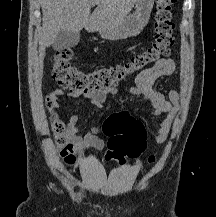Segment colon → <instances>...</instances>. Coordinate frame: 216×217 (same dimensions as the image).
I'll use <instances>...</instances> for the list:
<instances>
[{
	"label": "colon",
	"instance_id": "5ec220e1",
	"mask_svg": "<svg viewBox=\"0 0 216 217\" xmlns=\"http://www.w3.org/2000/svg\"><path fill=\"white\" fill-rule=\"evenodd\" d=\"M178 0H156L154 17V37L143 51L132 56L127 62L114 66L83 71L70 63L72 51L59 50L52 63V77L63 87L79 91L110 88L128 76L166 58L173 45V6ZM51 129L57 142L58 151L65 162L72 164L74 155L68 145L66 126L57 116H51ZM104 132L109 137L105 159L120 164L137 158L146 147V131L143 124L127 113L116 114L104 124ZM157 155H150L148 163L154 165Z\"/></svg>",
	"mask_w": 216,
	"mask_h": 217
}]
</instances>
